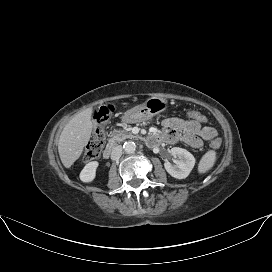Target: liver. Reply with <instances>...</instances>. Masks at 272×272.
<instances>
[{"instance_id": "6515ba94", "label": "liver", "mask_w": 272, "mask_h": 272, "mask_svg": "<svg viewBox=\"0 0 272 272\" xmlns=\"http://www.w3.org/2000/svg\"><path fill=\"white\" fill-rule=\"evenodd\" d=\"M91 132V110L89 109L76 114L65 125L59 137L58 152L66 168H70L80 157L90 140Z\"/></svg>"}]
</instances>
